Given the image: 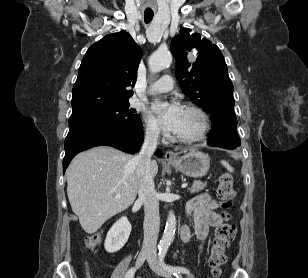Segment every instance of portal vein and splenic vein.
Segmentation results:
<instances>
[{
  "mask_svg": "<svg viewBox=\"0 0 308 278\" xmlns=\"http://www.w3.org/2000/svg\"><path fill=\"white\" fill-rule=\"evenodd\" d=\"M187 186H188V184H187V183L182 184V188H186ZM116 198H120V196H119V195H117V196H116Z\"/></svg>",
  "mask_w": 308,
  "mask_h": 278,
  "instance_id": "1",
  "label": "portal vein and splenic vein"
}]
</instances>
